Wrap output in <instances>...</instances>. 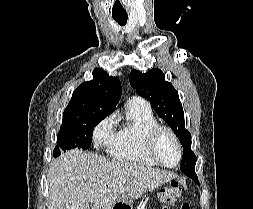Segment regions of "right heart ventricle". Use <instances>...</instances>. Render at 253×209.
I'll return each instance as SVG.
<instances>
[{
    "mask_svg": "<svg viewBox=\"0 0 253 209\" xmlns=\"http://www.w3.org/2000/svg\"><path fill=\"white\" fill-rule=\"evenodd\" d=\"M150 105L142 99H131L127 103L126 121L115 133L110 147L112 156L119 160L143 166H155L144 152V139L148 130L157 125Z\"/></svg>",
    "mask_w": 253,
    "mask_h": 209,
    "instance_id": "right-heart-ventricle-1",
    "label": "right heart ventricle"
}]
</instances>
